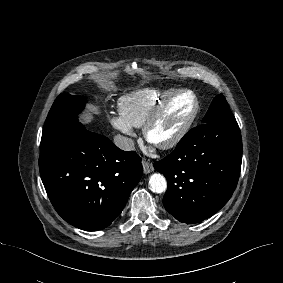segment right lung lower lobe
<instances>
[{"mask_svg": "<svg viewBox=\"0 0 283 283\" xmlns=\"http://www.w3.org/2000/svg\"><path fill=\"white\" fill-rule=\"evenodd\" d=\"M40 175L57 213L86 231L106 228L121 213L143 169L134 151L79 123L39 158Z\"/></svg>", "mask_w": 283, "mask_h": 283, "instance_id": "obj_1", "label": "right lung lower lobe"}]
</instances>
